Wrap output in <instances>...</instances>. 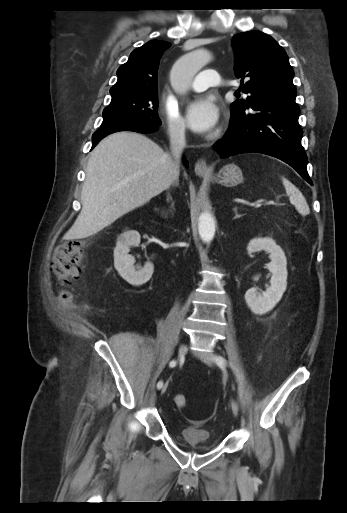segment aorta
<instances>
[{
  "instance_id": "762f6f07",
  "label": "aorta",
  "mask_w": 347,
  "mask_h": 513,
  "mask_svg": "<svg viewBox=\"0 0 347 513\" xmlns=\"http://www.w3.org/2000/svg\"><path fill=\"white\" fill-rule=\"evenodd\" d=\"M211 60L205 49H197L180 57L170 72V82L174 91L186 94L194 75ZM199 233L205 243H210L215 234V222L212 215L204 212L199 217Z\"/></svg>"
}]
</instances>
